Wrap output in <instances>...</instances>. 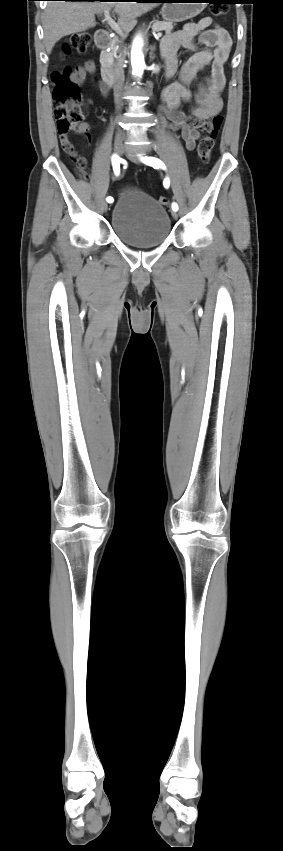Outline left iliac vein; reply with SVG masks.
Instances as JSON below:
<instances>
[{"instance_id":"4c4485c4","label":"left iliac vein","mask_w":283,"mask_h":851,"mask_svg":"<svg viewBox=\"0 0 283 851\" xmlns=\"http://www.w3.org/2000/svg\"><path fill=\"white\" fill-rule=\"evenodd\" d=\"M126 156L128 157V159H129L130 161H132V162H134V163H137V164H138V163H140V158H139L138 156L134 155V154H133V152H131V151H129V150H126ZM172 217H173L174 219H177L178 214H177V212H176V211H172Z\"/></svg>"}]
</instances>
